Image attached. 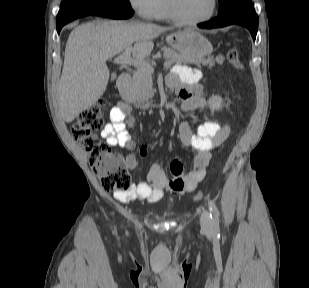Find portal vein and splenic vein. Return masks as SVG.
Wrapping results in <instances>:
<instances>
[{"mask_svg": "<svg viewBox=\"0 0 309 288\" xmlns=\"http://www.w3.org/2000/svg\"><path fill=\"white\" fill-rule=\"evenodd\" d=\"M130 52H131V48L130 47L126 48V50L121 55L117 56L113 62L115 64H120V65H132L139 69H144V70L149 71L150 73H153L154 69L149 63L139 58H132L130 55ZM169 65L170 64L167 61L164 62V66H169Z\"/></svg>", "mask_w": 309, "mask_h": 288, "instance_id": "1", "label": "portal vein and splenic vein"}]
</instances>
